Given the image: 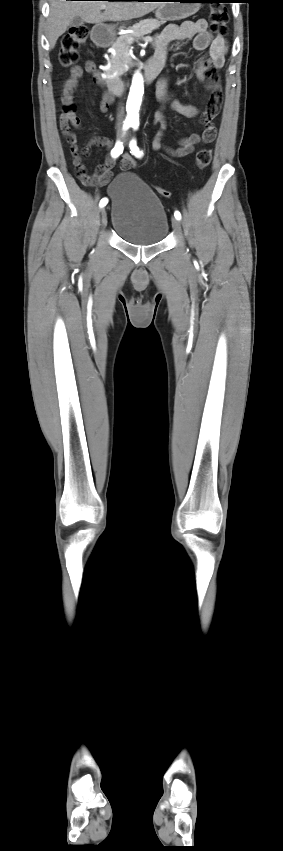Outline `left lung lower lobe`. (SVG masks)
Returning <instances> with one entry per match:
<instances>
[{"label": "left lung lower lobe", "instance_id": "left-lung-lower-lobe-1", "mask_svg": "<svg viewBox=\"0 0 283 851\" xmlns=\"http://www.w3.org/2000/svg\"><path fill=\"white\" fill-rule=\"evenodd\" d=\"M199 1H200V2H211V3H221V2H224V1H220V0H199Z\"/></svg>", "mask_w": 283, "mask_h": 851}]
</instances>
